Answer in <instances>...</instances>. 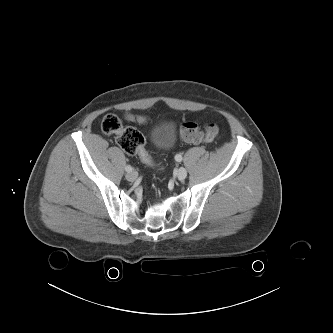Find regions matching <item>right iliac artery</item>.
Masks as SVG:
<instances>
[{
	"mask_svg": "<svg viewBox=\"0 0 333 333\" xmlns=\"http://www.w3.org/2000/svg\"><path fill=\"white\" fill-rule=\"evenodd\" d=\"M125 170H126L127 172H131V171H132V167H131L130 165H127V166L125 167Z\"/></svg>",
	"mask_w": 333,
	"mask_h": 333,
	"instance_id": "obj_1",
	"label": "right iliac artery"
}]
</instances>
